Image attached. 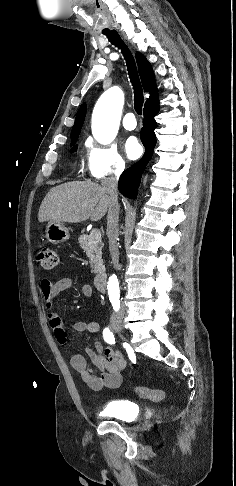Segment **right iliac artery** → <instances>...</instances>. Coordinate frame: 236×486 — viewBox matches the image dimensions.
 <instances>
[{
    "mask_svg": "<svg viewBox=\"0 0 236 486\" xmlns=\"http://www.w3.org/2000/svg\"><path fill=\"white\" fill-rule=\"evenodd\" d=\"M112 304L115 308V310H117V305L115 302L112 301ZM103 337H104V340L109 343V344H115V338H114V335L113 333L110 331L109 328H105L104 331H103Z\"/></svg>",
    "mask_w": 236,
    "mask_h": 486,
    "instance_id": "right-iliac-artery-1",
    "label": "right iliac artery"
}]
</instances>
